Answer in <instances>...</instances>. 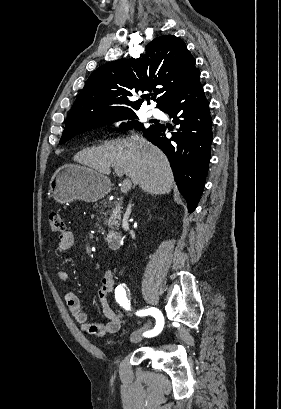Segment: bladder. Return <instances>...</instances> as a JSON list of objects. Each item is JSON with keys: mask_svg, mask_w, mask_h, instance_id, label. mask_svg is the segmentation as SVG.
<instances>
[{"mask_svg": "<svg viewBox=\"0 0 281 409\" xmlns=\"http://www.w3.org/2000/svg\"><path fill=\"white\" fill-rule=\"evenodd\" d=\"M102 346L110 351L118 352L125 347V342L118 336H109L103 340Z\"/></svg>", "mask_w": 281, "mask_h": 409, "instance_id": "31cf9c89", "label": "bladder"}]
</instances>
